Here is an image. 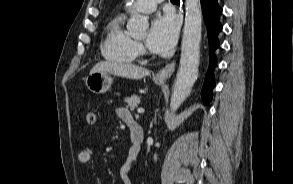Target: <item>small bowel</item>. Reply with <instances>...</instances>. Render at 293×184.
Instances as JSON below:
<instances>
[{"label": "small bowel", "instance_id": "1", "mask_svg": "<svg viewBox=\"0 0 293 184\" xmlns=\"http://www.w3.org/2000/svg\"><path fill=\"white\" fill-rule=\"evenodd\" d=\"M117 115L122 119L126 124L129 120H132V115L126 108H118ZM139 152H136L132 146L128 150L127 158L120 169V180L122 184H133L129 171L132 167L133 162L137 158ZM77 160L80 164H88L92 160V150L88 147L84 148L77 156Z\"/></svg>", "mask_w": 293, "mask_h": 184}]
</instances>
